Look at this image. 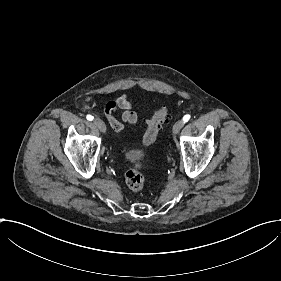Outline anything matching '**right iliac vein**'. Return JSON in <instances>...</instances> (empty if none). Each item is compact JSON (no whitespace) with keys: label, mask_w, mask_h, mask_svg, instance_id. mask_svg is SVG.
<instances>
[{"label":"right iliac vein","mask_w":281,"mask_h":281,"mask_svg":"<svg viewBox=\"0 0 281 281\" xmlns=\"http://www.w3.org/2000/svg\"><path fill=\"white\" fill-rule=\"evenodd\" d=\"M93 122H94L95 124H97V129L103 130L104 135L107 134V128H106V125L103 123V121H101V120L98 119V118H94V119H93Z\"/></svg>","instance_id":"obj_1"}]
</instances>
